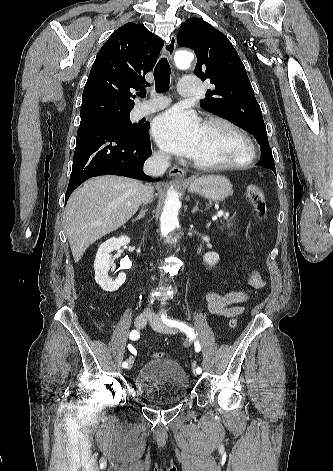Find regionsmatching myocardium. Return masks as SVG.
<instances>
[{"label":"myocardium","instance_id":"1","mask_svg":"<svg viewBox=\"0 0 333 471\" xmlns=\"http://www.w3.org/2000/svg\"><path fill=\"white\" fill-rule=\"evenodd\" d=\"M211 125H222L234 132L242 142L243 153L237 159L218 163H203L193 159L192 163L196 168L206 171L238 169L249 165L253 161L255 157V147L252 139L242 127L235 122L220 116L210 117L202 124V126Z\"/></svg>","mask_w":333,"mask_h":471}]
</instances>
